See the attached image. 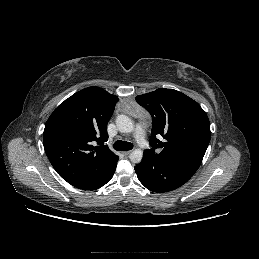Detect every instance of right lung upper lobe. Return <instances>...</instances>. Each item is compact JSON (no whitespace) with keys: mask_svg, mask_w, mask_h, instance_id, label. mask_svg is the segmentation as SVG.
<instances>
[{"mask_svg":"<svg viewBox=\"0 0 259 259\" xmlns=\"http://www.w3.org/2000/svg\"><path fill=\"white\" fill-rule=\"evenodd\" d=\"M118 97L85 88L61 103L45 125V153L57 173L77 185L105 173L119 159L104 142ZM100 146H94L95 143Z\"/></svg>","mask_w":259,"mask_h":259,"instance_id":"right-lung-upper-lobe-1","label":"right lung upper lobe"}]
</instances>
